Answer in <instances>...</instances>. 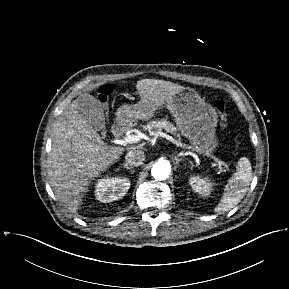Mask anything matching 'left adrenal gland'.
I'll list each match as a JSON object with an SVG mask.
<instances>
[{
	"instance_id": "a2214340",
	"label": "left adrenal gland",
	"mask_w": 289,
	"mask_h": 289,
	"mask_svg": "<svg viewBox=\"0 0 289 289\" xmlns=\"http://www.w3.org/2000/svg\"><path fill=\"white\" fill-rule=\"evenodd\" d=\"M175 161H176L175 164L179 165V162L182 161V158L175 157Z\"/></svg>"
}]
</instances>
